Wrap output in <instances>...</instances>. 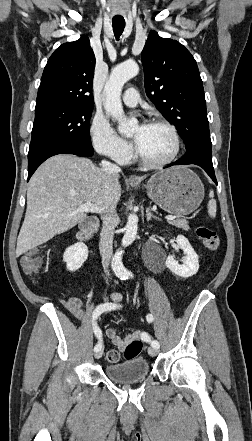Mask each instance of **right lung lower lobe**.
I'll list each match as a JSON object with an SVG mask.
<instances>
[{"mask_svg":"<svg viewBox=\"0 0 252 441\" xmlns=\"http://www.w3.org/2000/svg\"><path fill=\"white\" fill-rule=\"evenodd\" d=\"M74 154L82 157L93 156V147L91 143L79 141H58L44 144L28 153V180L46 159L57 154Z\"/></svg>","mask_w":252,"mask_h":441,"instance_id":"1","label":"right lung lower lobe"}]
</instances>
